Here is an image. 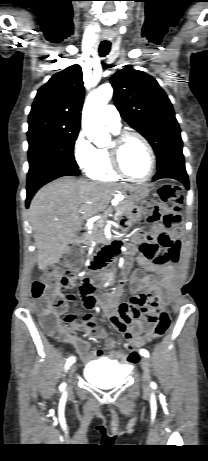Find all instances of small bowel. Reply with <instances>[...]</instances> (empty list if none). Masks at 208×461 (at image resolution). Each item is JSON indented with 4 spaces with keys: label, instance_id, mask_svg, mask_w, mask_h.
Returning <instances> with one entry per match:
<instances>
[{
    "label": "small bowel",
    "instance_id": "c3829d8e",
    "mask_svg": "<svg viewBox=\"0 0 208 461\" xmlns=\"http://www.w3.org/2000/svg\"><path fill=\"white\" fill-rule=\"evenodd\" d=\"M127 209L131 214H122L123 222H130L132 217L142 216V204H129ZM158 247L168 251H140L137 256L138 264L147 272L135 270L130 276L127 274L126 264L120 278V283L115 292L105 295L100 301L96 298L98 286L95 277L97 273L92 271L89 277H82L79 285L80 294L75 291H63L61 299L68 309H75L82 299L83 306L92 311L101 306L105 317L112 327L123 334L127 340H142L141 332L148 330L155 322L159 307L170 300V287L174 280L175 268L181 262V253L184 245L181 243V229H158ZM126 253L130 256L136 253V247L129 244ZM68 267L65 277L73 280L81 264L77 256H68ZM74 284V282H73ZM138 292L128 302H121L126 287ZM59 324H68L61 327L60 340L73 346L83 360L90 361L101 357V350H91L87 341L83 340L78 332L87 336L104 339L109 348L113 347V341L107 337L106 331L100 327L94 314L85 313L79 317L74 313H59ZM135 352L127 353L123 348L112 351L110 358L133 363L137 360Z\"/></svg>",
    "mask_w": 208,
    "mask_h": 461
}]
</instances>
